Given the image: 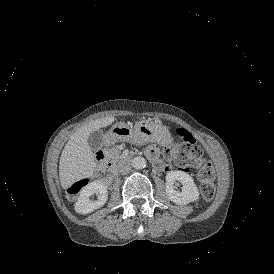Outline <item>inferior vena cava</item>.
<instances>
[{"instance_id": "602c4592", "label": "inferior vena cava", "mask_w": 274, "mask_h": 274, "mask_svg": "<svg viewBox=\"0 0 274 274\" xmlns=\"http://www.w3.org/2000/svg\"><path fill=\"white\" fill-rule=\"evenodd\" d=\"M131 171V166L129 164H124L119 168V172L123 175L128 174Z\"/></svg>"}]
</instances>
